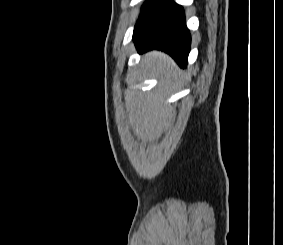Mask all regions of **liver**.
<instances>
[{"label": "liver", "mask_w": 283, "mask_h": 245, "mask_svg": "<svg viewBox=\"0 0 283 245\" xmlns=\"http://www.w3.org/2000/svg\"><path fill=\"white\" fill-rule=\"evenodd\" d=\"M146 65L156 70L160 75L176 74L178 69L170 57L160 52H150L145 55Z\"/></svg>", "instance_id": "6515ba94"}]
</instances>
